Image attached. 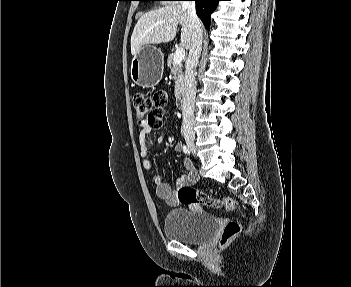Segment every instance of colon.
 Listing matches in <instances>:
<instances>
[{"mask_svg":"<svg viewBox=\"0 0 351 287\" xmlns=\"http://www.w3.org/2000/svg\"><path fill=\"white\" fill-rule=\"evenodd\" d=\"M168 95L165 91H158L153 95L136 93L133 96V106L136 117L140 121H146L152 129H159L163 124L166 112ZM178 200L183 204L201 203L215 208L233 209L237 206L235 200L226 197H213L204 192L198 191L191 186H182L177 193ZM241 230L238 221H229L221 234L219 245H227Z\"/></svg>","mask_w":351,"mask_h":287,"instance_id":"colon-1","label":"colon"}]
</instances>
